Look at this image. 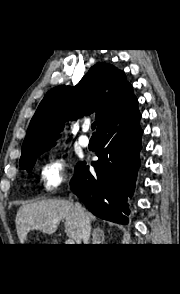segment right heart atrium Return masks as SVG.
<instances>
[{
    "instance_id": "1",
    "label": "right heart atrium",
    "mask_w": 180,
    "mask_h": 294,
    "mask_svg": "<svg viewBox=\"0 0 180 294\" xmlns=\"http://www.w3.org/2000/svg\"><path fill=\"white\" fill-rule=\"evenodd\" d=\"M69 161L62 154H51L39 168L44 191L53 192L68 179Z\"/></svg>"
}]
</instances>
